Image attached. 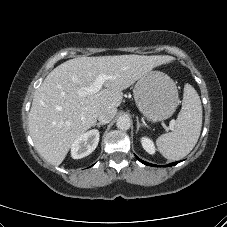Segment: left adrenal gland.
<instances>
[{
    "label": "left adrenal gland",
    "instance_id": "left-adrenal-gland-1",
    "mask_svg": "<svg viewBox=\"0 0 227 227\" xmlns=\"http://www.w3.org/2000/svg\"><path fill=\"white\" fill-rule=\"evenodd\" d=\"M143 126L140 122L139 119L137 118V131H139V128Z\"/></svg>",
    "mask_w": 227,
    "mask_h": 227
}]
</instances>
